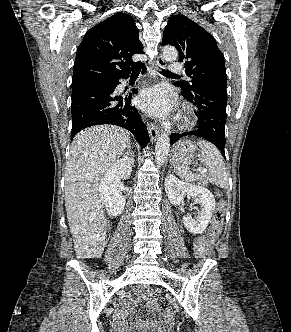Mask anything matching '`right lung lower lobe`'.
Returning a JSON list of instances; mask_svg holds the SVG:
<instances>
[{
    "label": "right lung lower lobe",
    "instance_id": "right-lung-lower-lobe-1",
    "mask_svg": "<svg viewBox=\"0 0 291 332\" xmlns=\"http://www.w3.org/2000/svg\"><path fill=\"white\" fill-rule=\"evenodd\" d=\"M143 69L144 65H140ZM126 75L121 78H128ZM119 79L98 78L72 86V133L71 139L81 130L100 124H112L129 130L137 142L145 147L148 131L141 117L130 103L132 94H117ZM137 93V89L132 90Z\"/></svg>",
    "mask_w": 291,
    "mask_h": 332
}]
</instances>
